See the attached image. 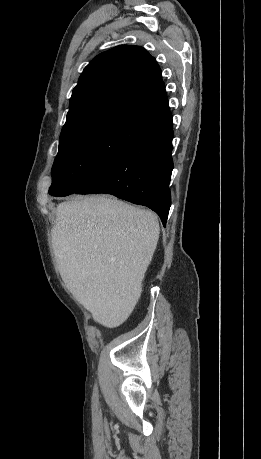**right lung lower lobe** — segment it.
<instances>
[{
    "instance_id": "obj_1",
    "label": "right lung lower lobe",
    "mask_w": 261,
    "mask_h": 459,
    "mask_svg": "<svg viewBox=\"0 0 261 459\" xmlns=\"http://www.w3.org/2000/svg\"><path fill=\"white\" fill-rule=\"evenodd\" d=\"M172 116L154 124L131 148L73 193H107L149 207L166 225L173 169Z\"/></svg>"
}]
</instances>
